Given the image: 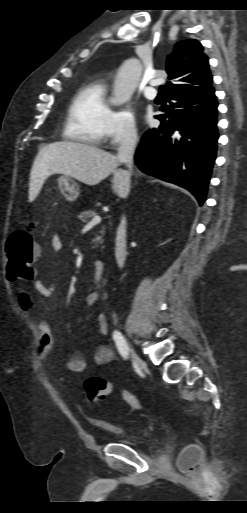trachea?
Masks as SVG:
<instances>
[{
    "label": "trachea",
    "instance_id": "trachea-1",
    "mask_svg": "<svg viewBox=\"0 0 247 513\" xmlns=\"http://www.w3.org/2000/svg\"><path fill=\"white\" fill-rule=\"evenodd\" d=\"M164 89H165V86H163V85H162V86H160V87H159V93H160V94H162V92L164 91Z\"/></svg>",
    "mask_w": 247,
    "mask_h": 513
}]
</instances>
